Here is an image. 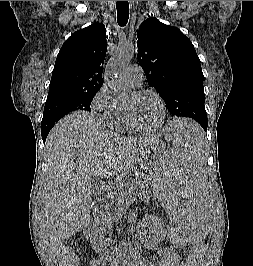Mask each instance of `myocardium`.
Segmentation results:
<instances>
[{"label":"myocardium","instance_id":"1","mask_svg":"<svg viewBox=\"0 0 253 266\" xmlns=\"http://www.w3.org/2000/svg\"><path fill=\"white\" fill-rule=\"evenodd\" d=\"M133 94L136 96H142V95L149 94V95H153L154 97H156L157 100L159 101V104L161 107V118H160L159 123L157 125H155L154 127L145 128V127H142L138 124L132 110L128 106H125L124 108H125V112H126L130 127L134 131H137L140 133H153V132H156L159 129H161L164 126V124L166 122V118H167L166 103H165V100L163 99V97L161 96V94L155 90L148 89V88L135 90L133 92Z\"/></svg>","mask_w":253,"mask_h":266}]
</instances>
